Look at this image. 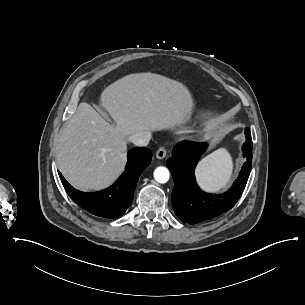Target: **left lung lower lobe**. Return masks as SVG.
<instances>
[{"label": "left lung lower lobe", "mask_w": 305, "mask_h": 305, "mask_svg": "<svg viewBox=\"0 0 305 305\" xmlns=\"http://www.w3.org/2000/svg\"><path fill=\"white\" fill-rule=\"evenodd\" d=\"M245 136L246 142L242 150L247 160L233 186L221 195L201 191L195 181L194 169L206 149V144L183 141L174 147L172 157L167 159V166L174 180L172 207L181 221L197 224L219 216L235 205L246 186L252 166V138L249 128H245Z\"/></svg>", "instance_id": "obj_1"}]
</instances>
